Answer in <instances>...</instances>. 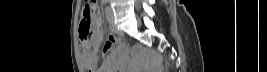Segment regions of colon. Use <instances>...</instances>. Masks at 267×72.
Here are the masks:
<instances>
[{
    "label": "colon",
    "mask_w": 267,
    "mask_h": 72,
    "mask_svg": "<svg viewBox=\"0 0 267 72\" xmlns=\"http://www.w3.org/2000/svg\"><path fill=\"white\" fill-rule=\"evenodd\" d=\"M99 19L100 11L96 7V1H86L79 24V37L87 47H96L102 39Z\"/></svg>",
    "instance_id": "1"
}]
</instances>
